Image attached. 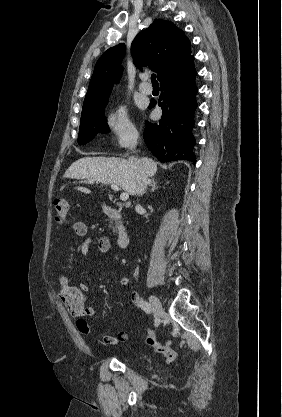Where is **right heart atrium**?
<instances>
[{"mask_svg":"<svg viewBox=\"0 0 282 417\" xmlns=\"http://www.w3.org/2000/svg\"><path fill=\"white\" fill-rule=\"evenodd\" d=\"M108 125L117 135L122 146L133 144L136 138V131L123 109H119L109 116Z\"/></svg>","mask_w":282,"mask_h":417,"instance_id":"right-heart-atrium-1","label":"right heart atrium"}]
</instances>
